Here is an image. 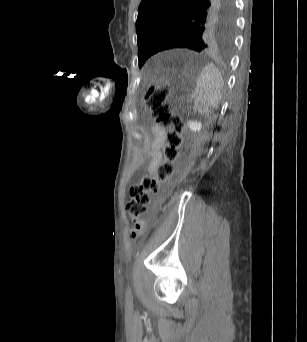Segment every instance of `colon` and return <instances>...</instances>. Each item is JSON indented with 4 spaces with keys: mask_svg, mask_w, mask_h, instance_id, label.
Instances as JSON below:
<instances>
[{
    "mask_svg": "<svg viewBox=\"0 0 307 342\" xmlns=\"http://www.w3.org/2000/svg\"><path fill=\"white\" fill-rule=\"evenodd\" d=\"M166 87H150L147 95V107L155 124L165 129V146L163 157L158 162L153 174H144L140 180L129 188L125 205L127 213L132 218L131 235L138 238L146 231L143 216L148 211L150 194L159 190V184L175 176V161L180 157L183 143V124L167 104Z\"/></svg>",
    "mask_w": 307,
    "mask_h": 342,
    "instance_id": "5ec220e1",
    "label": "colon"
}]
</instances>
